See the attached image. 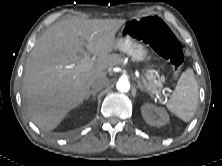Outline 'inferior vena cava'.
<instances>
[{
  "mask_svg": "<svg viewBox=\"0 0 222 166\" xmlns=\"http://www.w3.org/2000/svg\"><path fill=\"white\" fill-rule=\"evenodd\" d=\"M109 85V80L107 77H101L97 78L96 80L93 81L91 87L93 91H100L104 88H106Z\"/></svg>",
  "mask_w": 222,
  "mask_h": 166,
  "instance_id": "obj_1",
  "label": "inferior vena cava"
}]
</instances>
